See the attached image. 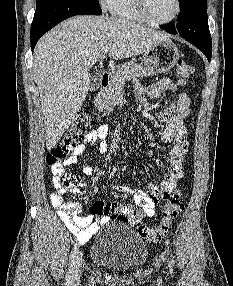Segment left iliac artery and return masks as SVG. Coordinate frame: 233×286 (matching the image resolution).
Wrapping results in <instances>:
<instances>
[{"mask_svg": "<svg viewBox=\"0 0 233 286\" xmlns=\"http://www.w3.org/2000/svg\"><path fill=\"white\" fill-rule=\"evenodd\" d=\"M168 266H169L170 273H173V262L170 259L168 260Z\"/></svg>", "mask_w": 233, "mask_h": 286, "instance_id": "obj_1", "label": "left iliac artery"}]
</instances>
